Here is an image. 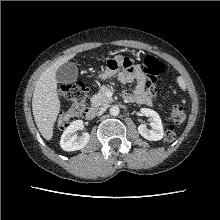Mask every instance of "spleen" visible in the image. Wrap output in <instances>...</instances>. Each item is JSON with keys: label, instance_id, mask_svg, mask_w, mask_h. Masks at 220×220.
Returning a JSON list of instances; mask_svg holds the SVG:
<instances>
[{"label": "spleen", "instance_id": "obj_1", "mask_svg": "<svg viewBox=\"0 0 220 220\" xmlns=\"http://www.w3.org/2000/svg\"><path fill=\"white\" fill-rule=\"evenodd\" d=\"M177 81H178L179 86H180L183 90H185V89H186V84H185L183 78L179 77V78L177 79Z\"/></svg>", "mask_w": 220, "mask_h": 220}]
</instances>
